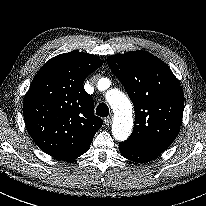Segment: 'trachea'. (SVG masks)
Listing matches in <instances>:
<instances>
[{"mask_svg":"<svg viewBox=\"0 0 206 206\" xmlns=\"http://www.w3.org/2000/svg\"><path fill=\"white\" fill-rule=\"evenodd\" d=\"M109 114V108L107 104L105 103H100L97 108H96V115L100 117H107Z\"/></svg>","mask_w":206,"mask_h":206,"instance_id":"3493384b","label":"trachea"}]
</instances>
